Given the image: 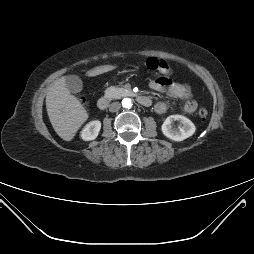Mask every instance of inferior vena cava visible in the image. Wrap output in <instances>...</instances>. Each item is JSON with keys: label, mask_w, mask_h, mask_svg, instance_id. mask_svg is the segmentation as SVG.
I'll list each match as a JSON object with an SVG mask.
<instances>
[{"label": "inferior vena cava", "mask_w": 254, "mask_h": 254, "mask_svg": "<svg viewBox=\"0 0 254 254\" xmlns=\"http://www.w3.org/2000/svg\"><path fill=\"white\" fill-rule=\"evenodd\" d=\"M121 104L119 102H113L109 105V111L110 112H116L120 109Z\"/></svg>", "instance_id": "obj_1"}]
</instances>
